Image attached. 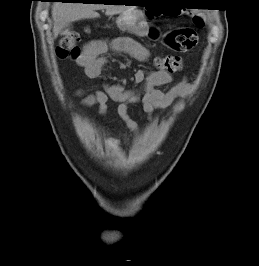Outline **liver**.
Listing matches in <instances>:
<instances>
[{
	"label": "liver",
	"mask_w": 259,
	"mask_h": 266,
	"mask_svg": "<svg viewBox=\"0 0 259 266\" xmlns=\"http://www.w3.org/2000/svg\"><path fill=\"white\" fill-rule=\"evenodd\" d=\"M106 9V15L123 13L131 10V7L121 5L83 4V3H61L52 6L53 36L58 34L70 23L82 19L99 17L97 10Z\"/></svg>",
	"instance_id": "obj_1"
}]
</instances>
